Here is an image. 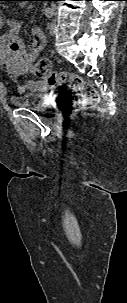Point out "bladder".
Here are the masks:
<instances>
[{
  "label": "bladder",
  "instance_id": "obj_1",
  "mask_svg": "<svg viewBox=\"0 0 127 303\" xmlns=\"http://www.w3.org/2000/svg\"><path fill=\"white\" fill-rule=\"evenodd\" d=\"M11 102L14 106L22 109H30L38 112H43L47 109L41 94H20L18 96H13Z\"/></svg>",
  "mask_w": 127,
  "mask_h": 303
}]
</instances>
